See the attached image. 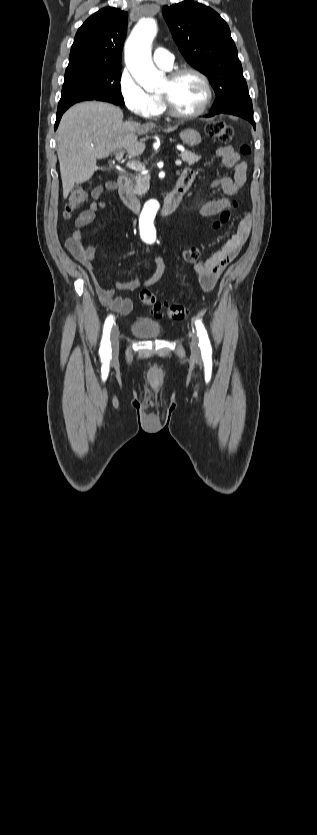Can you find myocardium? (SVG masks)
Instances as JSON below:
<instances>
[{"label":"myocardium","instance_id":"f54148a6","mask_svg":"<svg viewBox=\"0 0 317 835\" xmlns=\"http://www.w3.org/2000/svg\"><path fill=\"white\" fill-rule=\"evenodd\" d=\"M185 74H193V75L197 76L201 80V82L204 86L205 97H204V100L202 101L200 107L197 110H195L194 112H191V113H183V112H181V111H179L175 108V106L172 103L171 98L169 97L168 94L160 93L159 96L162 99L167 112L171 116H173L175 118H179V119H193V118L199 117L200 115H202L207 110L208 106L211 103L212 97H213V90H212L211 82H210L209 78L207 77V75L204 74L199 69L194 68V67H190V66L177 68V69L171 71L168 75V79L173 82V81L177 80L179 77H181L182 75H185Z\"/></svg>","mask_w":317,"mask_h":835}]
</instances>
